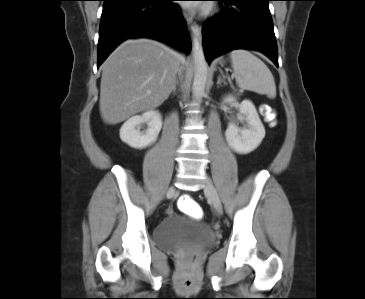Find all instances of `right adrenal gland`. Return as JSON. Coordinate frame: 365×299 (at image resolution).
<instances>
[{
  "label": "right adrenal gland",
  "instance_id": "obj_1",
  "mask_svg": "<svg viewBox=\"0 0 365 299\" xmlns=\"http://www.w3.org/2000/svg\"><path fill=\"white\" fill-rule=\"evenodd\" d=\"M177 84H178V80H175V83H174V85H173V88H172L171 92H173V93H175V92H176Z\"/></svg>",
  "mask_w": 365,
  "mask_h": 299
}]
</instances>
